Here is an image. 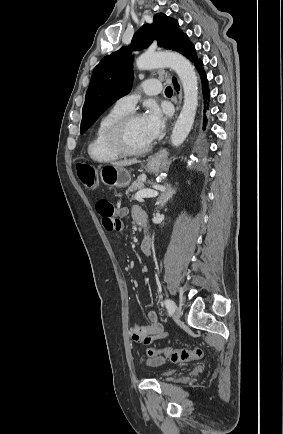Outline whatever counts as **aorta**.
Listing matches in <instances>:
<instances>
[{"label":"aorta","instance_id":"aorta-1","mask_svg":"<svg viewBox=\"0 0 283 434\" xmlns=\"http://www.w3.org/2000/svg\"><path fill=\"white\" fill-rule=\"evenodd\" d=\"M136 66L140 70L170 67L180 78L184 104L173 128L171 142L176 147L181 145L192 128L198 106V81L194 67L177 53L143 54L136 60Z\"/></svg>","mask_w":283,"mask_h":434}]
</instances>
